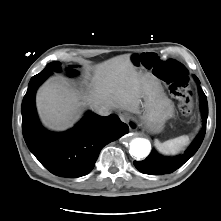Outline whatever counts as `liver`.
<instances>
[{
	"mask_svg": "<svg viewBox=\"0 0 221 221\" xmlns=\"http://www.w3.org/2000/svg\"><path fill=\"white\" fill-rule=\"evenodd\" d=\"M151 78L137 71L129 54L117 56L95 67L88 95L69 88L62 80L47 81L37 93V110L44 125L58 131L71 127L87 105L94 110L105 106L136 112Z\"/></svg>",
	"mask_w": 221,
	"mask_h": 221,
	"instance_id": "liver-1",
	"label": "liver"
}]
</instances>
